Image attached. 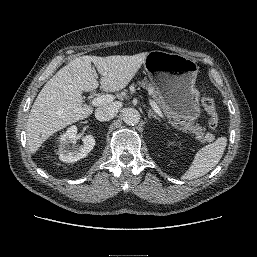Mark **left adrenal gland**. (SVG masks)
<instances>
[{
	"label": "left adrenal gland",
	"instance_id": "a2214340",
	"mask_svg": "<svg viewBox=\"0 0 257 257\" xmlns=\"http://www.w3.org/2000/svg\"><path fill=\"white\" fill-rule=\"evenodd\" d=\"M148 117H149V118L153 117V118H155V119H157V120H160V118H159L155 113H153L152 110H149V111H148Z\"/></svg>",
	"mask_w": 257,
	"mask_h": 257
}]
</instances>
